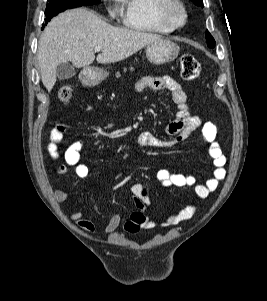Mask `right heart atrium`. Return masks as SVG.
I'll list each match as a JSON object with an SVG mask.
<instances>
[{
    "label": "right heart atrium",
    "instance_id": "right-heart-atrium-1",
    "mask_svg": "<svg viewBox=\"0 0 267 301\" xmlns=\"http://www.w3.org/2000/svg\"><path fill=\"white\" fill-rule=\"evenodd\" d=\"M108 8V11L110 15L114 18H117L119 16L118 9L114 6L113 1H119V0H103Z\"/></svg>",
    "mask_w": 267,
    "mask_h": 301
}]
</instances>
